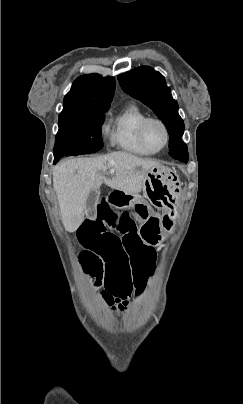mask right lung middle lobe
Wrapping results in <instances>:
<instances>
[{
    "label": "right lung middle lobe",
    "mask_w": 243,
    "mask_h": 404,
    "mask_svg": "<svg viewBox=\"0 0 243 404\" xmlns=\"http://www.w3.org/2000/svg\"><path fill=\"white\" fill-rule=\"evenodd\" d=\"M109 107L99 110L62 111L53 149L54 163L61 157L94 153L102 149L101 125Z\"/></svg>",
    "instance_id": "dd1d6c3e"
}]
</instances>
